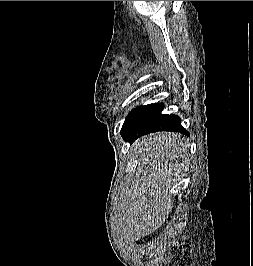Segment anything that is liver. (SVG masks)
Here are the masks:
<instances>
[{
	"mask_svg": "<svg viewBox=\"0 0 253 266\" xmlns=\"http://www.w3.org/2000/svg\"><path fill=\"white\" fill-rule=\"evenodd\" d=\"M138 173L120 195V228L127 239L156 231L173 208L170 188L187 163L184 138L169 132L154 133L134 143Z\"/></svg>",
	"mask_w": 253,
	"mask_h": 266,
	"instance_id": "obj_1",
	"label": "liver"
}]
</instances>
